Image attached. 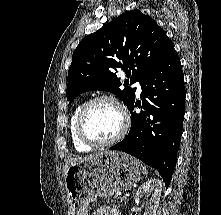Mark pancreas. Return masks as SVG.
Instances as JSON below:
<instances>
[{
    "label": "pancreas",
    "mask_w": 221,
    "mask_h": 215,
    "mask_svg": "<svg viewBox=\"0 0 221 215\" xmlns=\"http://www.w3.org/2000/svg\"><path fill=\"white\" fill-rule=\"evenodd\" d=\"M123 201V199L119 196H114L113 198H107L106 202L109 204H112L113 206L119 207L120 203Z\"/></svg>",
    "instance_id": "pancreas-1"
}]
</instances>
